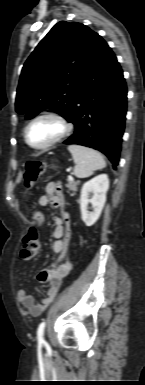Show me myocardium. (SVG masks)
Listing matches in <instances>:
<instances>
[{
    "mask_svg": "<svg viewBox=\"0 0 145 385\" xmlns=\"http://www.w3.org/2000/svg\"><path fill=\"white\" fill-rule=\"evenodd\" d=\"M45 118H48V119H53L55 121H57L61 127H62V130L60 132V134L54 138L52 141H50L49 143L45 144V145H42V146H35V145H32L29 140H28V131L30 129V127L37 121L41 120V119H45ZM73 130V125L70 123V121L65 117L63 116L62 114L60 113H57V112H54V111H44L36 116H34L28 123L27 125L25 126V129H24V140H25V143L32 149L34 150H45V149H48L56 144H58L59 142H61L62 140H64L66 137H68L70 135V133L72 132Z\"/></svg>",
    "mask_w": 145,
    "mask_h": 385,
    "instance_id": "1",
    "label": "myocardium"
}]
</instances>
